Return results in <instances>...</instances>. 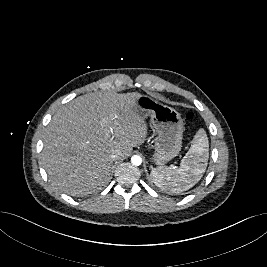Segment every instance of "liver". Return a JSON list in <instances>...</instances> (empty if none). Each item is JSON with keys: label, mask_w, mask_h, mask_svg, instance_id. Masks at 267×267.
I'll list each match as a JSON object with an SVG mask.
<instances>
[{"label": "liver", "mask_w": 267, "mask_h": 267, "mask_svg": "<svg viewBox=\"0 0 267 267\" xmlns=\"http://www.w3.org/2000/svg\"><path fill=\"white\" fill-rule=\"evenodd\" d=\"M132 92L90 93L61 107L43 137L42 164L51 182L71 196H86L110 181L113 150L122 158L147 137Z\"/></svg>", "instance_id": "liver-1"}]
</instances>
